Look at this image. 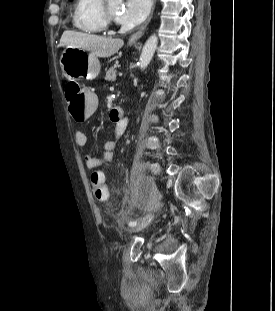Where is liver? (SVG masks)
Instances as JSON below:
<instances>
[{"label":"liver","mask_w":275,"mask_h":311,"mask_svg":"<svg viewBox=\"0 0 275 311\" xmlns=\"http://www.w3.org/2000/svg\"><path fill=\"white\" fill-rule=\"evenodd\" d=\"M124 45L119 38L103 37L77 31H65L60 46L85 49L97 57L107 58L114 55Z\"/></svg>","instance_id":"6515ba94"}]
</instances>
